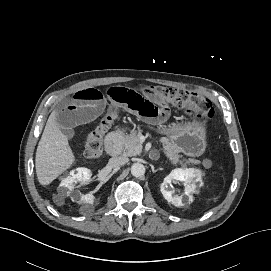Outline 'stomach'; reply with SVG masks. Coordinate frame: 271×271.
<instances>
[{"instance_id": "obj_1", "label": "stomach", "mask_w": 271, "mask_h": 271, "mask_svg": "<svg viewBox=\"0 0 271 271\" xmlns=\"http://www.w3.org/2000/svg\"><path fill=\"white\" fill-rule=\"evenodd\" d=\"M174 149L191 157L201 156L206 149V129L203 124L193 121L173 124L169 131Z\"/></svg>"}]
</instances>
